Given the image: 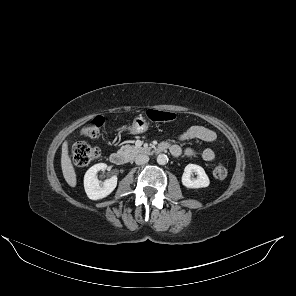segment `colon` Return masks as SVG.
Segmentation results:
<instances>
[{"mask_svg":"<svg viewBox=\"0 0 296 296\" xmlns=\"http://www.w3.org/2000/svg\"><path fill=\"white\" fill-rule=\"evenodd\" d=\"M147 117L153 122H170L176 118V115L169 111L151 109L147 111ZM102 124L103 118L97 117L82 129V134L89 138H96L99 136ZM98 157L99 149L84 141L76 142L70 154V159L76 166H87L96 161ZM213 175L218 179L225 178L227 175L226 167L224 165H217L213 170Z\"/></svg>","mask_w":296,"mask_h":296,"instance_id":"obj_1","label":"colon"}]
</instances>
